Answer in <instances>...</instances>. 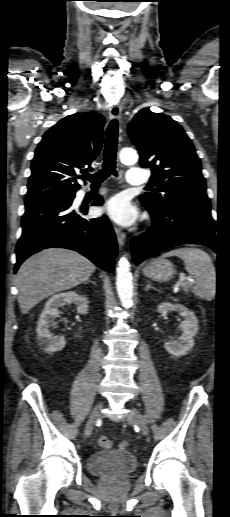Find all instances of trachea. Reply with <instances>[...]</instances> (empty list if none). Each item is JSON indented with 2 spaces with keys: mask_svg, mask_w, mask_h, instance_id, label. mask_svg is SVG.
Instances as JSON below:
<instances>
[{
  "mask_svg": "<svg viewBox=\"0 0 230 517\" xmlns=\"http://www.w3.org/2000/svg\"><path fill=\"white\" fill-rule=\"evenodd\" d=\"M117 138L118 121L113 119L106 130L104 162L102 169L93 175L89 173H84L82 175V178L90 181L93 186L100 185L111 174L116 175Z\"/></svg>",
  "mask_w": 230,
  "mask_h": 517,
  "instance_id": "1",
  "label": "trachea"
}]
</instances>
